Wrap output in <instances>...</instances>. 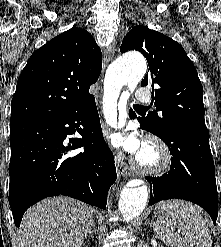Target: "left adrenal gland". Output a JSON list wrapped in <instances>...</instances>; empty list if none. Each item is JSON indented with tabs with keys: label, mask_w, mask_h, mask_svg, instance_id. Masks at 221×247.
Wrapping results in <instances>:
<instances>
[{
	"label": "left adrenal gland",
	"mask_w": 221,
	"mask_h": 247,
	"mask_svg": "<svg viewBox=\"0 0 221 247\" xmlns=\"http://www.w3.org/2000/svg\"><path fill=\"white\" fill-rule=\"evenodd\" d=\"M150 226H154V223L152 221L149 222Z\"/></svg>",
	"instance_id": "left-adrenal-gland-1"
}]
</instances>
